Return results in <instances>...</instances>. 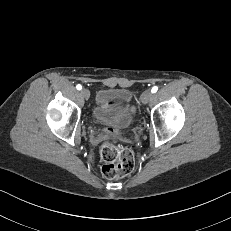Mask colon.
Returning a JSON list of instances; mask_svg holds the SVG:
<instances>
[{"label": "colon", "mask_w": 231, "mask_h": 231, "mask_svg": "<svg viewBox=\"0 0 231 231\" xmlns=\"http://www.w3.org/2000/svg\"><path fill=\"white\" fill-rule=\"evenodd\" d=\"M100 156L103 161L101 171L105 178L123 177L134 169V155L128 148L106 142L101 146Z\"/></svg>", "instance_id": "5ec220e1"}]
</instances>
